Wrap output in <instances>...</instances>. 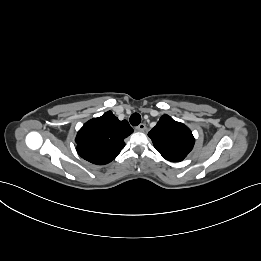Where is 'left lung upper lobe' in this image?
Returning a JSON list of instances; mask_svg holds the SVG:
<instances>
[{"label":"left lung upper lobe","instance_id":"left-lung-upper-lobe-1","mask_svg":"<svg viewBox=\"0 0 261 261\" xmlns=\"http://www.w3.org/2000/svg\"><path fill=\"white\" fill-rule=\"evenodd\" d=\"M148 136L156 150L168 161H182L194 146L191 130L183 123L163 115Z\"/></svg>","mask_w":261,"mask_h":261}]
</instances>
